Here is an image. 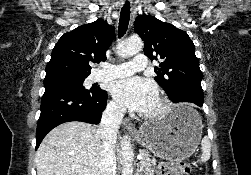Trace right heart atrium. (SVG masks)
Returning <instances> with one entry per match:
<instances>
[{"label": "right heart atrium", "instance_id": "obj_1", "mask_svg": "<svg viewBox=\"0 0 251 175\" xmlns=\"http://www.w3.org/2000/svg\"><path fill=\"white\" fill-rule=\"evenodd\" d=\"M107 111L108 113L115 117V118H120L123 116L124 114V111L123 109L118 105L116 104L115 102L111 101L109 104H108V108H107Z\"/></svg>", "mask_w": 251, "mask_h": 175}]
</instances>
